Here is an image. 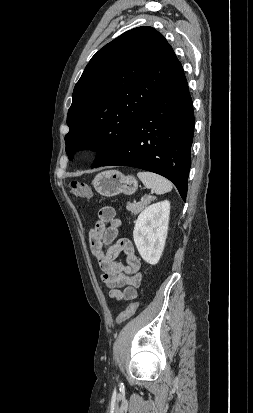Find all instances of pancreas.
<instances>
[{
  "label": "pancreas",
  "mask_w": 253,
  "mask_h": 413,
  "mask_svg": "<svg viewBox=\"0 0 253 413\" xmlns=\"http://www.w3.org/2000/svg\"><path fill=\"white\" fill-rule=\"evenodd\" d=\"M154 198L144 197L140 202H128L126 209L131 212L132 215H137L141 212Z\"/></svg>",
  "instance_id": "pancreas-1"
}]
</instances>
